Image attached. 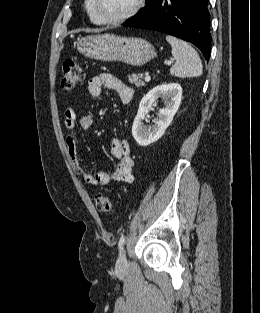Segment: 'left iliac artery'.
<instances>
[{"label": "left iliac artery", "mask_w": 260, "mask_h": 313, "mask_svg": "<svg viewBox=\"0 0 260 313\" xmlns=\"http://www.w3.org/2000/svg\"><path fill=\"white\" fill-rule=\"evenodd\" d=\"M124 243H125V236H121V238L119 239V243H118L119 249L123 248Z\"/></svg>", "instance_id": "left-iliac-artery-1"}]
</instances>
